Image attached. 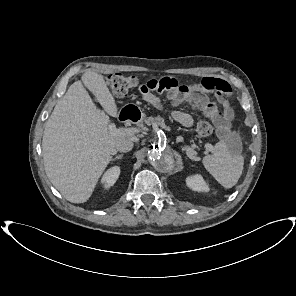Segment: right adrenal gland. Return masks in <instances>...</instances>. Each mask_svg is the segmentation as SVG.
Listing matches in <instances>:
<instances>
[{
    "label": "right adrenal gland",
    "instance_id": "right-adrenal-gland-1",
    "mask_svg": "<svg viewBox=\"0 0 296 296\" xmlns=\"http://www.w3.org/2000/svg\"><path fill=\"white\" fill-rule=\"evenodd\" d=\"M122 158H123V154H119V155H116L114 158H112V161H116Z\"/></svg>",
    "mask_w": 296,
    "mask_h": 296
}]
</instances>
